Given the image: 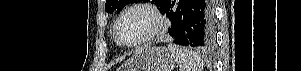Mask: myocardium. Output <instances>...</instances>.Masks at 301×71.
I'll return each mask as SVG.
<instances>
[{"label":"myocardium","mask_w":301,"mask_h":71,"mask_svg":"<svg viewBox=\"0 0 301 71\" xmlns=\"http://www.w3.org/2000/svg\"><path fill=\"white\" fill-rule=\"evenodd\" d=\"M135 10H142V11L148 13L152 17L153 27L143 38H141L137 42L131 43V44H126V43H123L119 39V36H118L119 24L125 15H127L128 13L135 11ZM164 27H165L164 18L161 15V13L154 6L147 4V3H135V4H132V5L128 6L127 8H125L118 15V17L114 23L112 33H113L114 41L116 42L117 45H119L120 47L126 48V49H134V48L143 46V45L151 42L152 40H154L163 31Z\"/></svg>","instance_id":"myocardium-1"}]
</instances>
